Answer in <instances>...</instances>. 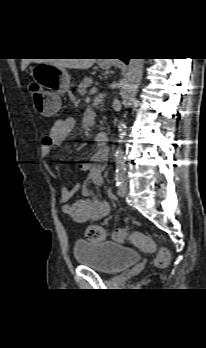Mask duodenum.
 <instances>
[{
  "label": "duodenum",
  "mask_w": 206,
  "mask_h": 348,
  "mask_svg": "<svg viewBox=\"0 0 206 348\" xmlns=\"http://www.w3.org/2000/svg\"><path fill=\"white\" fill-rule=\"evenodd\" d=\"M95 139L99 143H106L109 140V133L107 131H100L96 134Z\"/></svg>",
  "instance_id": "410a0bca"
}]
</instances>
